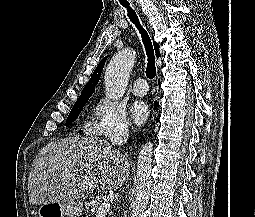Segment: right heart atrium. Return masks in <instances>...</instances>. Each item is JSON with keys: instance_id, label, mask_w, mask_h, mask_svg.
I'll return each instance as SVG.
<instances>
[{"instance_id": "obj_1", "label": "right heart atrium", "mask_w": 255, "mask_h": 217, "mask_svg": "<svg viewBox=\"0 0 255 217\" xmlns=\"http://www.w3.org/2000/svg\"><path fill=\"white\" fill-rule=\"evenodd\" d=\"M86 130L91 135L109 138L127 134L129 122L125 107L109 98H100L94 107Z\"/></svg>"}]
</instances>
